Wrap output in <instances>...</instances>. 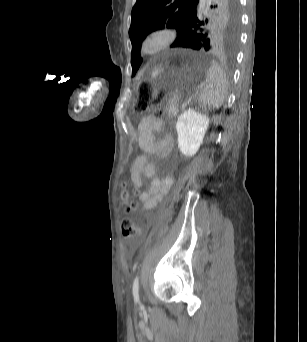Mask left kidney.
<instances>
[{"label":"left kidney","mask_w":307,"mask_h":342,"mask_svg":"<svg viewBox=\"0 0 307 342\" xmlns=\"http://www.w3.org/2000/svg\"><path fill=\"white\" fill-rule=\"evenodd\" d=\"M208 126L209 118L200 112L191 110V108L179 116L176 132L178 134V148L183 156L192 158L198 152Z\"/></svg>","instance_id":"left-kidney-1"}]
</instances>
